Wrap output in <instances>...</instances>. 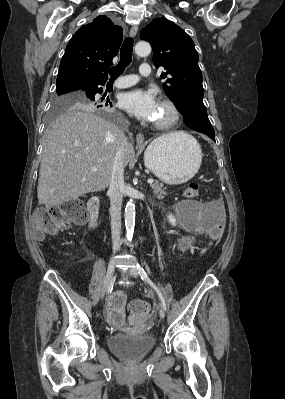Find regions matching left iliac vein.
<instances>
[{"label": "left iliac vein", "mask_w": 285, "mask_h": 399, "mask_svg": "<svg viewBox=\"0 0 285 399\" xmlns=\"http://www.w3.org/2000/svg\"><path fill=\"white\" fill-rule=\"evenodd\" d=\"M128 273H129L130 276H132V277H134V278H138V277H139L138 271H137V269L134 268V267H130V268L128 269ZM159 316H160V318H162V319L165 317V311H164L163 309H160V310H159Z\"/></svg>", "instance_id": "4c4485c4"}]
</instances>
